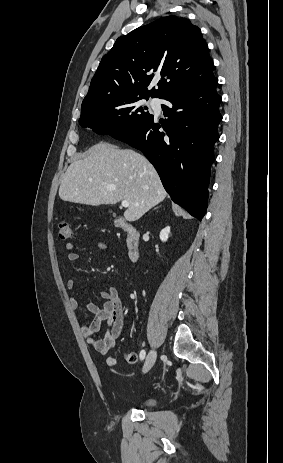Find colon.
<instances>
[{
  "label": "colon",
  "instance_id": "5ec220e1",
  "mask_svg": "<svg viewBox=\"0 0 283 463\" xmlns=\"http://www.w3.org/2000/svg\"><path fill=\"white\" fill-rule=\"evenodd\" d=\"M58 235L61 239H68L72 237V228L69 221L65 219L59 221ZM125 360L128 363H135L137 361V355L133 352H129L125 355Z\"/></svg>",
  "mask_w": 283,
  "mask_h": 463
}]
</instances>
